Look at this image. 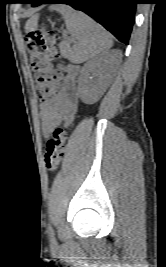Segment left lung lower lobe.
Here are the masks:
<instances>
[{
	"label": "left lung lower lobe",
	"mask_w": 166,
	"mask_h": 267,
	"mask_svg": "<svg viewBox=\"0 0 166 267\" xmlns=\"http://www.w3.org/2000/svg\"><path fill=\"white\" fill-rule=\"evenodd\" d=\"M38 6L43 3H64L87 13L121 42L128 44L137 0H23Z\"/></svg>",
	"instance_id": "obj_1"
}]
</instances>
